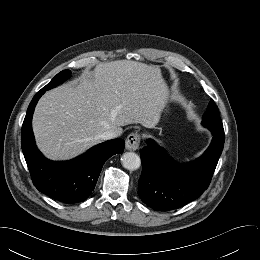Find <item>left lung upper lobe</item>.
Instances as JSON below:
<instances>
[{
	"label": "left lung upper lobe",
	"instance_id": "left-lung-upper-lobe-1",
	"mask_svg": "<svg viewBox=\"0 0 260 260\" xmlns=\"http://www.w3.org/2000/svg\"><path fill=\"white\" fill-rule=\"evenodd\" d=\"M202 124L223 126L221 118L219 116L218 108L213 100H211L206 113L203 115Z\"/></svg>",
	"mask_w": 260,
	"mask_h": 260
}]
</instances>
